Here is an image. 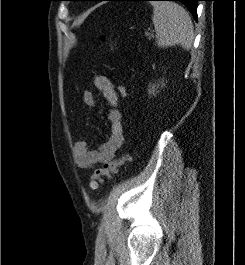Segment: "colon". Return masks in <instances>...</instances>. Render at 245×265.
<instances>
[{"instance_id":"obj_1","label":"colon","mask_w":245,"mask_h":265,"mask_svg":"<svg viewBox=\"0 0 245 265\" xmlns=\"http://www.w3.org/2000/svg\"><path fill=\"white\" fill-rule=\"evenodd\" d=\"M100 42L102 44L108 45L109 47H112L111 39L107 36H101ZM119 92L120 95L123 97H126L128 95V90L125 86H120ZM126 159L127 156L122 155L114 160L104 163V165L101 168L97 169L91 176L89 181V188L91 190H96L99 187L103 178L116 173L119 166L123 164Z\"/></svg>"}]
</instances>
